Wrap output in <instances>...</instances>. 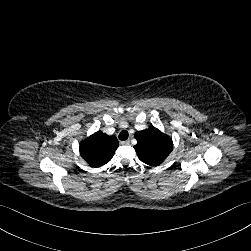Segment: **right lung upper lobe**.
I'll return each mask as SVG.
<instances>
[{
	"label": "right lung upper lobe",
	"mask_w": 251,
	"mask_h": 251,
	"mask_svg": "<svg viewBox=\"0 0 251 251\" xmlns=\"http://www.w3.org/2000/svg\"><path fill=\"white\" fill-rule=\"evenodd\" d=\"M118 146L119 143L115 136H108L98 131L83 140L79 149L86 163L91 167L98 168L112 159Z\"/></svg>",
	"instance_id": "right-lung-upper-lobe-1"
}]
</instances>
